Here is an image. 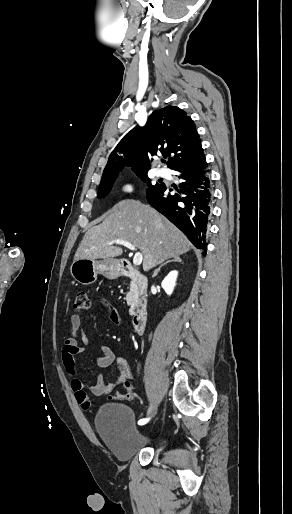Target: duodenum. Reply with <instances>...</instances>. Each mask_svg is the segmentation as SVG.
I'll list each match as a JSON object with an SVG mask.
<instances>
[{
	"label": "duodenum",
	"instance_id": "410a0bca",
	"mask_svg": "<svg viewBox=\"0 0 292 514\" xmlns=\"http://www.w3.org/2000/svg\"><path fill=\"white\" fill-rule=\"evenodd\" d=\"M122 275L130 278L135 286V289L139 293L140 303L136 309V313L133 316L132 326L133 330L136 333H140L143 331L147 318H148V310H147V287H148V278L144 276L137 268H135L132 264H126L125 268L122 271Z\"/></svg>",
	"mask_w": 292,
	"mask_h": 514
}]
</instances>
